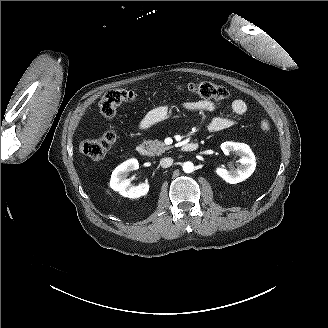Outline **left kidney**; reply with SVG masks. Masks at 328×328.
Returning <instances> with one entry per match:
<instances>
[{"label":"left kidney","instance_id":"obj_1","mask_svg":"<svg viewBox=\"0 0 328 328\" xmlns=\"http://www.w3.org/2000/svg\"><path fill=\"white\" fill-rule=\"evenodd\" d=\"M221 150L228 156L230 153H235L241 158L239 160L240 166L233 171H228L222 167H216L215 173L229 184H238L248 179L256 169V161L253 153L248 145L237 142H224L221 144Z\"/></svg>","mask_w":328,"mask_h":328}]
</instances>
